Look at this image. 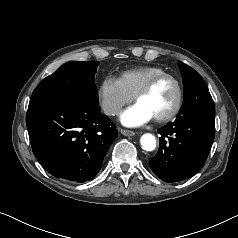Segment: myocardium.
<instances>
[{
    "label": "myocardium",
    "mask_w": 238,
    "mask_h": 238,
    "mask_svg": "<svg viewBox=\"0 0 238 238\" xmlns=\"http://www.w3.org/2000/svg\"><path fill=\"white\" fill-rule=\"evenodd\" d=\"M163 79H169L175 84L177 96H176V101L173 108L168 113L154 118L156 122H160V123L168 122L174 119L180 112L182 108V104H183V98H184L183 86L181 81L176 76L170 73H162L152 77L133 96L134 101L137 102L140 97L149 93L153 89V87Z\"/></svg>",
    "instance_id": "1"
}]
</instances>
